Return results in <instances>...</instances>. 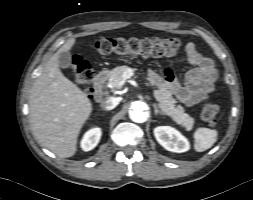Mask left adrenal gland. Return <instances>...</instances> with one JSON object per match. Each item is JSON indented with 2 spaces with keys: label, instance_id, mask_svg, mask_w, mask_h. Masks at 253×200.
<instances>
[{
  "label": "left adrenal gland",
  "instance_id": "left-adrenal-gland-1",
  "mask_svg": "<svg viewBox=\"0 0 253 200\" xmlns=\"http://www.w3.org/2000/svg\"><path fill=\"white\" fill-rule=\"evenodd\" d=\"M153 107H154V112H155L156 115L157 114L163 115V113L158 109V107L155 103L153 104Z\"/></svg>",
  "mask_w": 253,
  "mask_h": 200
}]
</instances>
